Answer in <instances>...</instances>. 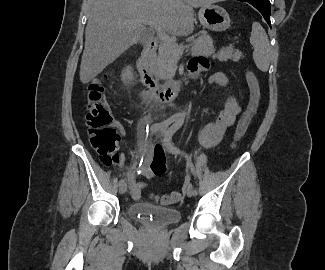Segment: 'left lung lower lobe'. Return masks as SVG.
<instances>
[{"label":"left lung lower lobe","instance_id":"left-lung-lower-lobe-1","mask_svg":"<svg viewBox=\"0 0 325 270\" xmlns=\"http://www.w3.org/2000/svg\"><path fill=\"white\" fill-rule=\"evenodd\" d=\"M239 1L248 2L252 4L263 15L267 23L271 25L270 23L271 6L269 0H239Z\"/></svg>","mask_w":325,"mask_h":270}]
</instances>
